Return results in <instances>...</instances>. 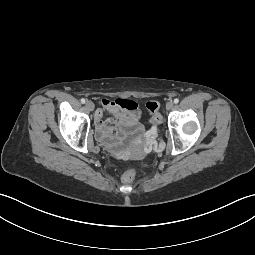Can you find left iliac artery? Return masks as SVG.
<instances>
[{"mask_svg":"<svg viewBox=\"0 0 255 255\" xmlns=\"http://www.w3.org/2000/svg\"><path fill=\"white\" fill-rule=\"evenodd\" d=\"M179 102V99L178 98H175L174 99V103L177 104Z\"/></svg>","mask_w":255,"mask_h":255,"instance_id":"left-iliac-artery-1","label":"left iliac artery"}]
</instances>
